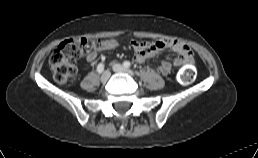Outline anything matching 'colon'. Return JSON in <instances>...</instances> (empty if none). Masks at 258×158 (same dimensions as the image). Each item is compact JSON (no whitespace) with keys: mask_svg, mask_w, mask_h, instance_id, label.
I'll list each match as a JSON object with an SVG mask.
<instances>
[{"mask_svg":"<svg viewBox=\"0 0 258 158\" xmlns=\"http://www.w3.org/2000/svg\"><path fill=\"white\" fill-rule=\"evenodd\" d=\"M100 45V41L87 38H70L64 40L53 52L49 66L56 82L66 84L76 72V61L91 49ZM194 70L189 63L179 74L182 84H189L194 79Z\"/></svg>","mask_w":258,"mask_h":158,"instance_id":"obj_1","label":"colon"}]
</instances>
